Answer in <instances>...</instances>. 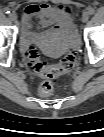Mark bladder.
<instances>
[{"label":"bladder","instance_id":"obj_1","mask_svg":"<svg viewBox=\"0 0 104 137\" xmlns=\"http://www.w3.org/2000/svg\"><path fill=\"white\" fill-rule=\"evenodd\" d=\"M77 42V38L72 34L61 36L58 33H52L40 38L38 45L46 56L57 58L77 46Z\"/></svg>","mask_w":104,"mask_h":137}]
</instances>
